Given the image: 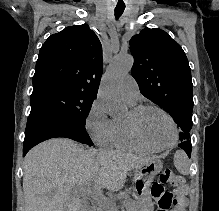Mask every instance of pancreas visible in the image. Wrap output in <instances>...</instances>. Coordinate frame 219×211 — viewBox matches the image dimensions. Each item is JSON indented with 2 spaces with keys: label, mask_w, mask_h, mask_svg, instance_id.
Here are the masks:
<instances>
[{
  "label": "pancreas",
  "mask_w": 219,
  "mask_h": 211,
  "mask_svg": "<svg viewBox=\"0 0 219 211\" xmlns=\"http://www.w3.org/2000/svg\"><path fill=\"white\" fill-rule=\"evenodd\" d=\"M117 205L122 208V211H137L140 208V205L136 204L135 200H116L115 203H112L111 200H106L104 207L107 211H119Z\"/></svg>",
  "instance_id": "pancreas-1"
}]
</instances>
